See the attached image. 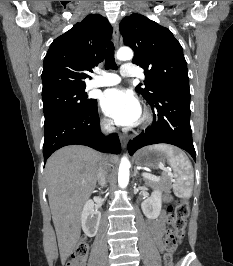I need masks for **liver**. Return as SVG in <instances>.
Wrapping results in <instances>:
<instances>
[{
	"label": "liver",
	"mask_w": 233,
	"mask_h": 266,
	"mask_svg": "<svg viewBox=\"0 0 233 266\" xmlns=\"http://www.w3.org/2000/svg\"><path fill=\"white\" fill-rule=\"evenodd\" d=\"M103 161L110 169L117 157H103L82 145L63 147L47 160L45 175L49 205L62 263L80 238L82 207L96 187Z\"/></svg>",
	"instance_id": "obj_1"
}]
</instances>
